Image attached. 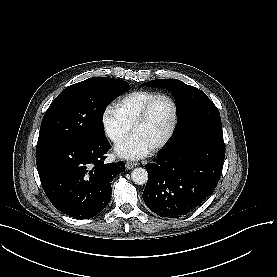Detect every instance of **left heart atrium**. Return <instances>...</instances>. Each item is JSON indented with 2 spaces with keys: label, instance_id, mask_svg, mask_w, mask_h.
I'll return each mask as SVG.
<instances>
[{
  "label": "left heart atrium",
  "instance_id": "1",
  "mask_svg": "<svg viewBox=\"0 0 277 277\" xmlns=\"http://www.w3.org/2000/svg\"><path fill=\"white\" fill-rule=\"evenodd\" d=\"M118 152L121 156L143 159L150 155V148L139 136L129 135L119 142Z\"/></svg>",
  "mask_w": 277,
  "mask_h": 277
}]
</instances>
